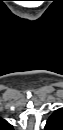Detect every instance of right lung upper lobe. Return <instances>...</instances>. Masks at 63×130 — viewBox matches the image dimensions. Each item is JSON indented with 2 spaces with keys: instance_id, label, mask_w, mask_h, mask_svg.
Returning <instances> with one entry per match:
<instances>
[{
  "instance_id": "right-lung-upper-lobe-1",
  "label": "right lung upper lobe",
  "mask_w": 63,
  "mask_h": 130,
  "mask_svg": "<svg viewBox=\"0 0 63 130\" xmlns=\"http://www.w3.org/2000/svg\"><path fill=\"white\" fill-rule=\"evenodd\" d=\"M2 126L8 128V129L12 128V126L10 124H8L5 120H2Z\"/></svg>"
}]
</instances>
